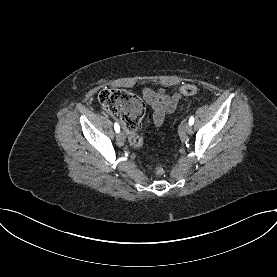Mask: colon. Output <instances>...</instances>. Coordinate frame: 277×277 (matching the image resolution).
Listing matches in <instances>:
<instances>
[{
  "label": "colon",
  "instance_id": "1",
  "mask_svg": "<svg viewBox=\"0 0 277 277\" xmlns=\"http://www.w3.org/2000/svg\"><path fill=\"white\" fill-rule=\"evenodd\" d=\"M179 92L185 96H193L198 93L195 85L187 84L180 87ZM99 103L109 112L120 115L121 122L129 133V142L132 147L139 149L143 145V139L139 133L141 122L146 114L143 101L135 94L118 88H105L98 94ZM149 119H152L150 115ZM166 166L157 164L154 174L161 176L165 173Z\"/></svg>",
  "mask_w": 277,
  "mask_h": 277
}]
</instances>
